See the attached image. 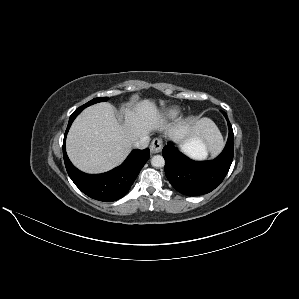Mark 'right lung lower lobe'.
Instances as JSON below:
<instances>
[{"instance_id":"98d812e1","label":"right lung lower lobe","mask_w":299,"mask_h":299,"mask_svg":"<svg viewBox=\"0 0 299 299\" xmlns=\"http://www.w3.org/2000/svg\"><path fill=\"white\" fill-rule=\"evenodd\" d=\"M83 109V107H79L70 116L64 135L63 157L66 170L74 184L89 197L103 202L118 200L130 189L140 170L149 159L150 151L148 148L133 150L120 166L103 174L81 172L73 166L66 154L65 139L72 122Z\"/></svg>"}]
</instances>
